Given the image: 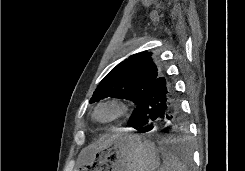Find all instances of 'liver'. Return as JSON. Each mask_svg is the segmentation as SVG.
<instances>
[{
	"label": "liver",
	"instance_id": "liver-1",
	"mask_svg": "<svg viewBox=\"0 0 245 171\" xmlns=\"http://www.w3.org/2000/svg\"><path fill=\"white\" fill-rule=\"evenodd\" d=\"M113 138H114V135L113 136H109V135L103 136L97 142L96 145L89 147L87 150L84 151V153H86V152H94V151H96V150H98L100 148L106 147L107 145H109L111 143Z\"/></svg>",
	"mask_w": 245,
	"mask_h": 171
}]
</instances>
